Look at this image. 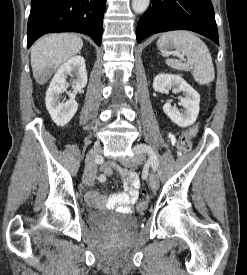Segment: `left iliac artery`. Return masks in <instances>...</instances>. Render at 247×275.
<instances>
[{
	"label": "left iliac artery",
	"mask_w": 247,
	"mask_h": 275,
	"mask_svg": "<svg viewBox=\"0 0 247 275\" xmlns=\"http://www.w3.org/2000/svg\"><path fill=\"white\" fill-rule=\"evenodd\" d=\"M138 151L140 153H148L149 156H150V163H151V166H152V169L155 171L157 170L158 168V158H157V155L153 152L152 148L146 144H140L138 145Z\"/></svg>",
	"instance_id": "44dca946"
}]
</instances>
